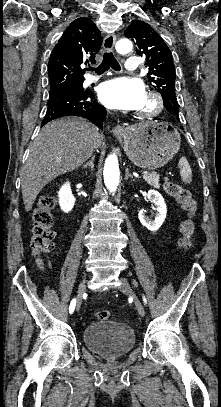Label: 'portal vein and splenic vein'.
Returning a JSON list of instances; mask_svg holds the SVG:
<instances>
[{
  "instance_id": "18ae733b",
  "label": "portal vein and splenic vein",
  "mask_w": 221,
  "mask_h": 407,
  "mask_svg": "<svg viewBox=\"0 0 221 407\" xmlns=\"http://www.w3.org/2000/svg\"><path fill=\"white\" fill-rule=\"evenodd\" d=\"M148 174H149L148 172H143L142 173L143 176L148 175Z\"/></svg>"
}]
</instances>
